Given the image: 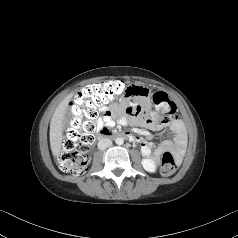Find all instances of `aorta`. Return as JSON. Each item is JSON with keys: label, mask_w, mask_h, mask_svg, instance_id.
<instances>
[{"label": "aorta", "mask_w": 238, "mask_h": 238, "mask_svg": "<svg viewBox=\"0 0 238 238\" xmlns=\"http://www.w3.org/2000/svg\"><path fill=\"white\" fill-rule=\"evenodd\" d=\"M115 143L117 144V145H122L123 143H124V139L123 138H116L115 139Z\"/></svg>", "instance_id": "762f6f07"}]
</instances>
